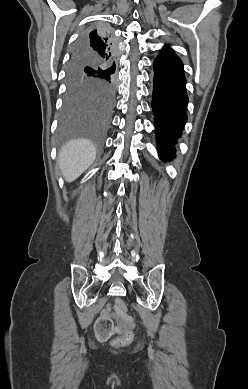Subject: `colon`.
Returning a JSON list of instances; mask_svg holds the SVG:
<instances>
[{
    "instance_id": "1",
    "label": "colon",
    "mask_w": 248,
    "mask_h": 389,
    "mask_svg": "<svg viewBox=\"0 0 248 389\" xmlns=\"http://www.w3.org/2000/svg\"><path fill=\"white\" fill-rule=\"evenodd\" d=\"M115 307L122 320H125L127 315V307L124 300L118 298L115 302ZM124 324L125 323L122 322L118 327L112 318L104 317L100 319L99 322H96L95 327L100 336H107L112 330L118 328L121 331V335L112 341V345L114 347H121L128 344L133 339V334L129 330L123 329ZM102 342L106 343L107 339L103 338Z\"/></svg>"
}]
</instances>
